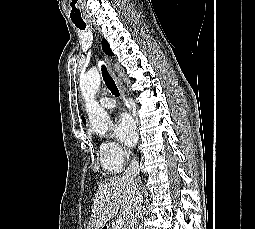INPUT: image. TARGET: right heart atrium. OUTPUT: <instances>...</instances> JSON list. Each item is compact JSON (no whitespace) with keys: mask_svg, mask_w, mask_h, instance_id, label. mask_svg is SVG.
<instances>
[{"mask_svg":"<svg viewBox=\"0 0 255 229\" xmlns=\"http://www.w3.org/2000/svg\"><path fill=\"white\" fill-rule=\"evenodd\" d=\"M100 150L104 159L111 164L123 165L128 156V151L125 150L119 143L114 141H105L101 144Z\"/></svg>","mask_w":255,"mask_h":229,"instance_id":"obj_1","label":"right heart atrium"}]
</instances>
